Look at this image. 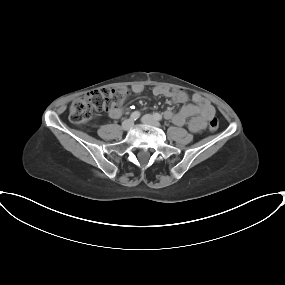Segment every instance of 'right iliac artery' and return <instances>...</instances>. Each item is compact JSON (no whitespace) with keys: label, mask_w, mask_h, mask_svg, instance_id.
<instances>
[{"label":"right iliac artery","mask_w":285,"mask_h":285,"mask_svg":"<svg viewBox=\"0 0 285 285\" xmlns=\"http://www.w3.org/2000/svg\"><path fill=\"white\" fill-rule=\"evenodd\" d=\"M139 117H140V112L135 111V112H133V113L131 114L130 119L135 121V120H137Z\"/></svg>","instance_id":"right-iliac-artery-1"}]
</instances>
